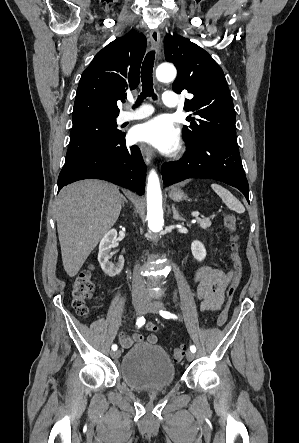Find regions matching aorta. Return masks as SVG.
<instances>
[{"mask_svg":"<svg viewBox=\"0 0 299 443\" xmlns=\"http://www.w3.org/2000/svg\"><path fill=\"white\" fill-rule=\"evenodd\" d=\"M156 77L161 82H170L176 77V69L171 64H162L156 69ZM146 191L148 228L149 232L155 235L162 231L164 225L162 192L155 170L149 173Z\"/></svg>","mask_w":299,"mask_h":443,"instance_id":"obj_1","label":"aorta"}]
</instances>
